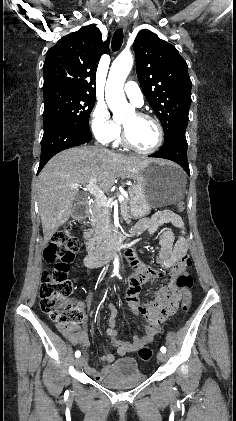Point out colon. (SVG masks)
<instances>
[{"instance_id":"colon-1","label":"colon","mask_w":236,"mask_h":421,"mask_svg":"<svg viewBox=\"0 0 236 421\" xmlns=\"http://www.w3.org/2000/svg\"><path fill=\"white\" fill-rule=\"evenodd\" d=\"M178 211L185 210V203L178 202ZM77 241L71 234L70 224L61 227L53 235L50 243L44 251V258L53 267L45 271L40 286V304L42 311L61 330L69 329L85 318L81 307L75 306L68 301L69 295L74 289V282L69 278L70 263L75 257ZM192 260L189 256H182L176 266V286L182 293L181 311L187 312L191 304V289L193 277L189 272ZM154 355L151 347H143L139 351V357L150 360Z\"/></svg>"}]
</instances>
